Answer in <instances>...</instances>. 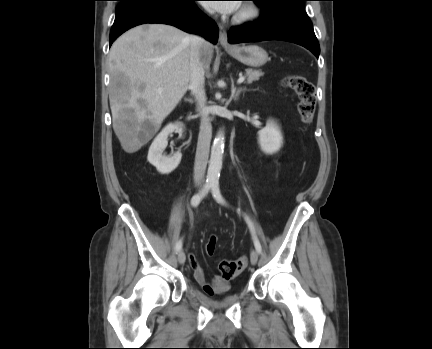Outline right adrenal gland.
Listing matches in <instances>:
<instances>
[{
    "instance_id": "2a0ac1e0",
    "label": "right adrenal gland",
    "mask_w": 432,
    "mask_h": 349,
    "mask_svg": "<svg viewBox=\"0 0 432 349\" xmlns=\"http://www.w3.org/2000/svg\"><path fill=\"white\" fill-rule=\"evenodd\" d=\"M185 101H188L189 103H194V100L192 98H185Z\"/></svg>"
}]
</instances>
